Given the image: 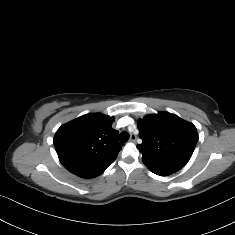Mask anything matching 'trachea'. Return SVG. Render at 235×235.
Returning <instances> with one entry per match:
<instances>
[{"mask_svg":"<svg viewBox=\"0 0 235 235\" xmlns=\"http://www.w3.org/2000/svg\"><path fill=\"white\" fill-rule=\"evenodd\" d=\"M128 139H129V134L127 132L123 131L120 133L119 140L121 142H127Z\"/></svg>","mask_w":235,"mask_h":235,"instance_id":"3493384b","label":"trachea"}]
</instances>
